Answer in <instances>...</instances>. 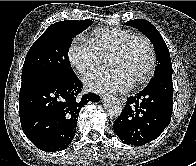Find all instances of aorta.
<instances>
[{"label": "aorta", "instance_id": "obj_1", "mask_svg": "<svg viewBox=\"0 0 196 166\" xmlns=\"http://www.w3.org/2000/svg\"><path fill=\"white\" fill-rule=\"evenodd\" d=\"M104 107L107 112L114 117L120 116L123 109L120 100L114 96H109L104 100Z\"/></svg>", "mask_w": 196, "mask_h": 166}]
</instances>
